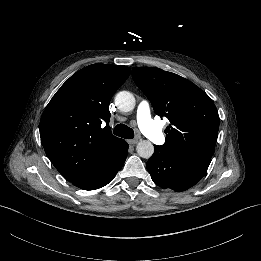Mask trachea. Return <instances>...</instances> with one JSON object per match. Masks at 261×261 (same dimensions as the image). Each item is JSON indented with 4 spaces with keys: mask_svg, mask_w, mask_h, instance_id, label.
<instances>
[{
    "mask_svg": "<svg viewBox=\"0 0 261 261\" xmlns=\"http://www.w3.org/2000/svg\"><path fill=\"white\" fill-rule=\"evenodd\" d=\"M113 133L124 139H132L134 137V131L125 124H118L115 126Z\"/></svg>",
    "mask_w": 261,
    "mask_h": 261,
    "instance_id": "trachea-1",
    "label": "trachea"
}]
</instances>
